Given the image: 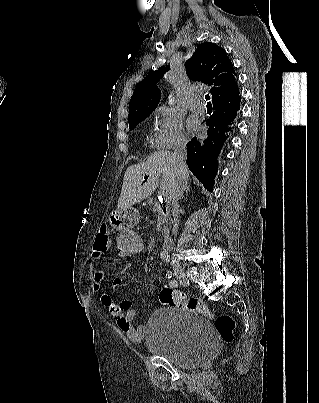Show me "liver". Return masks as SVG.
I'll use <instances>...</instances> for the list:
<instances>
[{"label":"liver","mask_w":319,"mask_h":403,"mask_svg":"<svg viewBox=\"0 0 319 403\" xmlns=\"http://www.w3.org/2000/svg\"><path fill=\"white\" fill-rule=\"evenodd\" d=\"M144 176L148 178L144 181ZM169 192L174 181L179 178L187 182L190 178V171L185 163L178 165L174 159V153L170 151L154 152L146 162L131 165L127 168L121 194L118 200V210H125L134 204L141 202L150 196L159 186Z\"/></svg>","instance_id":"6515ba94"}]
</instances>
